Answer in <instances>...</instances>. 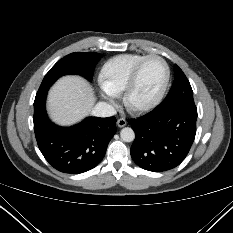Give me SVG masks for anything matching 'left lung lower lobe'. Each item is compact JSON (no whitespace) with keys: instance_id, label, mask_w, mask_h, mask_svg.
I'll return each instance as SVG.
<instances>
[{"instance_id":"left-lung-lower-lobe-1","label":"left lung lower lobe","mask_w":233,"mask_h":233,"mask_svg":"<svg viewBox=\"0 0 233 233\" xmlns=\"http://www.w3.org/2000/svg\"><path fill=\"white\" fill-rule=\"evenodd\" d=\"M195 103H175L156 107L131 119L135 140L131 157L141 168L162 172L175 168L187 156L196 134Z\"/></svg>"}]
</instances>
